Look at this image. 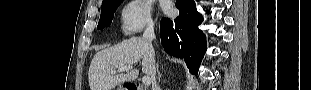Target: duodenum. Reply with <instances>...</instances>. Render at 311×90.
Returning a JSON list of instances; mask_svg holds the SVG:
<instances>
[{"label": "duodenum", "instance_id": "410a0bca", "mask_svg": "<svg viewBox=\"0 0 311 90\" xmlns=\"http://www.w3.org/2000/svg\"><path fill=\"white\" fill-rule=\"evenodd\" d=\"M125 90H142V89L134 84H130L126 87Z\"/></svg>", "mask_w": 311, "mask_h": 90}]
</instances>
